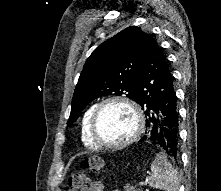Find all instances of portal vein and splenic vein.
Returning <instances> with one entry per match:
<instances>
[{
  "label": "portal vein and splenic vein",
  "mask_w": 221,
  "mask_h": 191,
  "mask_svg": "<svg viewBox=\"0 0 221 191\" xmlns=\"http://www.w3.org/2000/svg\"><path fill=\"white\" fill-rule=\"evenodd\" d=\"M145 185H146V182H144V181L139 183V186H140V187H143V186H145Z\"/></svg>",
  "instance_id": "18ae733b"
}]
</instances>
